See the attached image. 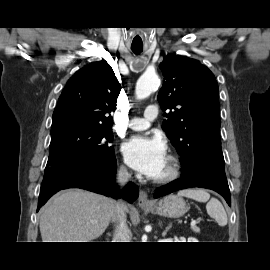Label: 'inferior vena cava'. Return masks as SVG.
Segmentation results:
<instances>
[{"instance_id":"1","label":"inferior vena cava","mask_w":270,"mask_h":270,"mask_svg":"<svg viewBox=\"0 0 270 270\" xmlns=\"http://www.w3.org/2000/svg\"><path fill=\"white\" fill-rule=\"evenodd\" d=\"M130 175L125 167L117 172V183L123 187L129 181ZM112 222L115 223L113 242H129L131 232L127 225L126 205L119 200L112 213Z\"/></svg>"}]
</instances>
